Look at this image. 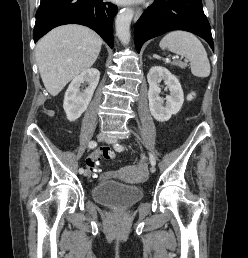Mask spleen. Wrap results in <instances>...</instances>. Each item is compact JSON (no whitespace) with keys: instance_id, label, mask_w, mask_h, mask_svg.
Here are the masks:
<instances>
[{"instance_id":"spleen-1","label":"spleen","mask_w":248,"mask_h":258,"mask_svg":"<svg viewBox=\"0 0 248 258\" xmlns=\"http://www.w3.org/2000/svg\"><path fill=\"white\" fill-rule=\"evenodd\" d=\"M159 46L163 50L168 49L185 57L190 62L194 76L205 78L210 75V63L206 50L194 34L181 30L172 31L163 37Z\"/></svg>"}]
</instances>
